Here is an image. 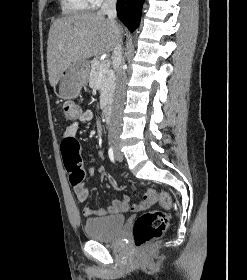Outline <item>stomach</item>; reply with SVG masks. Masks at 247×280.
I'll return each mask as SVG.
<instances>
[{"mask_svg":"<svg viewBox=\"0 0 247 280\" xmlns=\"http://www.w3.org/2000/svg\"><path fill=\"white\" fill-rule=\"evenodd\" d=\"M90 64L87 60L75 61L64 69L54 86L56 94L64 100L76 98L87 84Z\"/></svg>","mask_w":247,"mask_h":280,"instance_id":"0dacf381","label":"stomach"}]
</instances>
